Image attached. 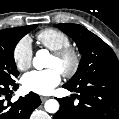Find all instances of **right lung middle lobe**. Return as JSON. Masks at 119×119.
<instances>
[{"label":"right lung middle lobe","instance_id":"1","mask_svg":"<svg viewBox=\"0 0 119 119\" xmlns=\"http://www.w3.org/2000/svg\"><path fill=\"white\" fill-rule=\"evenodd\" d=\"M36 27L34 24L0 31V82L9 84L18 77L19 72L14 61L15 46L23 36Z\"/></svg>","mask_w":119,"mask_h":119}]
</instances>
